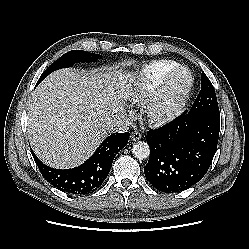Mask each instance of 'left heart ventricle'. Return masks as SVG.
<instances>
[{
  "mask_svg": "<svg viewBox=\"0 0 249 249\" xmlns=\"http://www.w3.org/2000/svg\"><path fill=\"white\" fill-rule=\"evenodd\" d=\"M187 81L188 75L185 71L178 73L171 85V97H175L184 88Z\"/></svg>",
  "mask_w": 249,
  "mask_h": 249,
  "instance_id": "left-heart-ventricle-1",
  "label": "left heart ventricle"
}]
</instances>
